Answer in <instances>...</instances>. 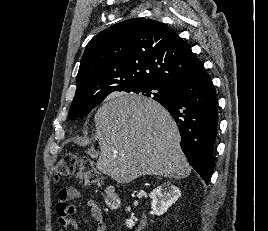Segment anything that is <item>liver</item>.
Instances as JSON below:
<instances>
[{
	"label": "liver",
	"instance_id": "liver-1",
	"mask_svg": "<svg viewBox=\"0 0 268 231\" xmlns=\"http://www.w3.org/2000/svg\"><path fill=\"white\" fill-rule=\"evenodd\" d=\"M100 156L96 167L117 183L142 175L181 179L191 166L180 147V134L158 102L136 94L117 95L94 117Z\"/></svg>",
	"mask_w": 268,
	"mask_h": 231
}]
</instances>
